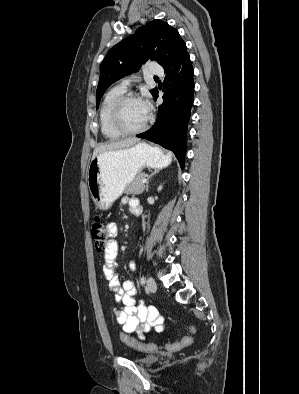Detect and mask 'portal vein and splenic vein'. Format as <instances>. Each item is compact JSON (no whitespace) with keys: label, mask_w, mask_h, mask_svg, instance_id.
<instances>
[{"label":"portal vein and splenic vein","mask_w":299,"mask_h":394,"mask_svg":"<svg viewBox=\"0 0 299 394\" xmlns=\"http://www.w3.org/2000/svg\"><path fill=\"white\" fill-rule=\"evenodd\" d=\"M146 182H147V179L144 178V179L142 180V183L144 184V183H146Z\"/></svg>","instance_id":"portal-vein-and-splenic-vein-1"}]
</instances>
